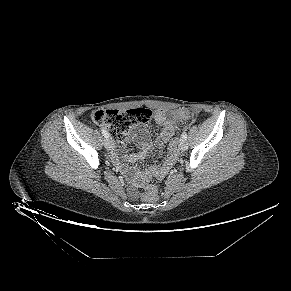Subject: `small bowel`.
I'll return each mask as SVG.
<instances>
[{"mask_svg":"<svg viewBox=\"0 0 291 291\" xmlns=\"http://www.w3.org/2000/svg\"><path fill=\"white\" fill-rule=\"evenodd\" d=\"M153 117L154 121L162 128L156 139V143L159 146H165L174 135V117L166 110H156ZM132 138L139 146L140 151L136 154L130 155L128 158L132 161L144 158L151 147V141L148 134L144 131L135 130L132 133ZM114 159L119 161L120 158L115 154ZM169 166L170 160H167L162 166H152L143 173H136L132 178V182L134 184H140L152 176L161 177L166 173Z\"/></svg>","mask_w":291,"mask_h":291,"instance_id":"c3829d8e","label":"small bowel"}]
</instances>
